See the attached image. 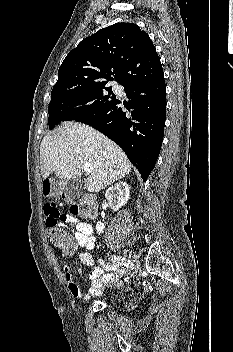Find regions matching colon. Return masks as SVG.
Returning a JSON list of instances; mask_svg holds the SVG:
<instances>
[{
    "mask_svg": "<svg viewBox=\"0 0 233 352\" xmlns=\"http://www.w3.org/2000/svg\"><path fill=\"white\" fill-rule=\"evenodd\" d=\"M75 215H81L84 217L92 216L96 211V204L92 197L83 196L80 202L74 205L71 209ZM47 225V237L50 242L61 251L67 254H71L75 250V244L71 240L69 234L59 226L54 224Z\"/></svg>",
    "mask_w": 233,
    "mask_h": 352,
    "instance_id": "5ec220e1",
    "label": "colon"
}]
</instances>
